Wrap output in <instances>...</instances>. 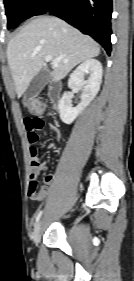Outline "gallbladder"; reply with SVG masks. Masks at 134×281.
I'll use <instances>...</instances> for the list:
<instances>
[{
	"instance_id": "1",
	"label": "gallbladder",
	"mask_w": 134,
	"mask_h": 281,
	"mask_svg": "<svg viewBox=\"0 0 134 281\" xmlns=\"http://www.w3.org/2000/svg\"><path fill=\"white\" fill-rule=\"evenodd\" d=\"M50 81V74L46 69H42L30 82L24 95V105L37 96L45 85Z\"/></svg>"
}]
</instances>
